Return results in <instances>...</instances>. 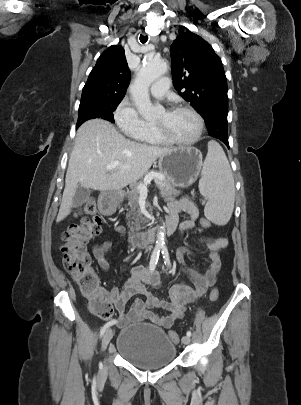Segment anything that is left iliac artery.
Returning a JSON list of instances; mask_svg holds the SVG:
<instances>
[{
  "mask_svg": "<svg viewBox=\"0 0 301 405\" xmlns=\"http://www.w3.org/2000/svg\"><path fill=\"white\" fill-rule=\"evenodd\" d=\"M162 254H163V258L165 260V264H167L168 266H171L168 249L166 247L162 248ZM186 334H187V336L190 337L191 336V331H187Z\"/></svg>",
  "mask_w": 301,
  "mask_h": 405,
  "instance_id": "obj_1",
  "label": "left iliac artery"
}]
</instances>
